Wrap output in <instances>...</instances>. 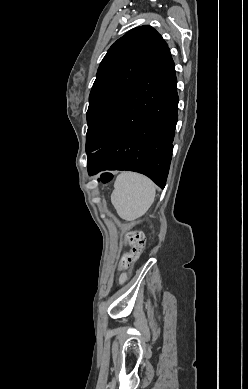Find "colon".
Returning <instances> with one entry per match:
<instances>
[{
	"label": "colon",
	"instance_id": "5ec220e1",
	"mask_svg": "<svg viewBox=\"0 0 248 389\" xmlns=\"http://www.w3.org/2000/svg\"><path fill=\"white\" fill-rule=\"evenodd\" d=\"M111 178L112 175L110 173H104L101 176V181L109 182ZM126 241L131 245V249L122 255L118 265V270L120 271L127 270L140 256L145 245L144 233L141 231H130L126 234Z\"/></svg>",
	"mask_w": 248,
	"mask_h": 389
}]
</instances>
